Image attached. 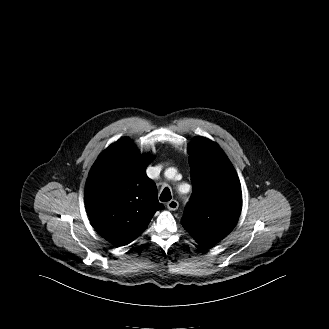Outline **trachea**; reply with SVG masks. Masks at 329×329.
<instances>
[{
	"label": "trachea",
	"mask_w": 329,
	"mask_h": 329,
	"mask_svg": "<svg viewBox=\"0 0 329 329\" xmlns=\"http://www.w3.org/2000/svg\"><path fill=\"white\" fill-rule=\"evenodd\" d=\"M171 198H172V196H171V192H170L169 188L166 187V188L162 191V193H161V195H160V201H162V202H168V201L171 200Z\"/></svg>",
	"instance_id": "obj_1"
}]
</instances>
